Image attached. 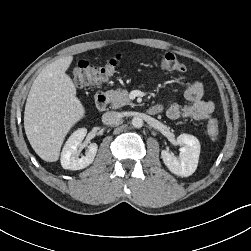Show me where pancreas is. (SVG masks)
I'll use <instances>...</instances> for the list:
<instances>
[{
  "mask_svg": "<svg viewBox=\"0 0 251 251\" xmlns=\"http://www.w3.org/2000/svg\"><path fill=\"white\" fill-rule=\"evenodd\" d=\"M106 94L110 99L113 109H117L125 105H134L128 98L127 90H109Z\"/></svg>",
  "mask_w": 251,
  "mask_h": 251,
  "instance_id": "cf45deb5",
  "label": "pancreas"
}]
</instances>
